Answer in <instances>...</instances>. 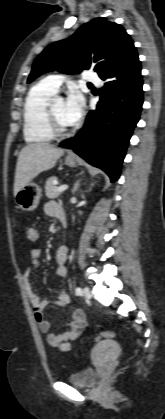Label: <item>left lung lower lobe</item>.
<instances>
[{
  "label": "left lung lower lobe",
  "mask_w": 165,
  "mask_h": 419,
  "mask_svg": "<svg viewBox=\"0 0 165 419\" xmlns=\"http://www.w3.org/2000/svg\"><path fill=\"white\" fill-rule=\"evenodd\" d=\"M106 80L96 110L89 111L84 126L73 138L60 143L93 166L103 169L114 182L143 104L141 66L136 48L100 76Z\"/></svg>",
  "instance_id": "obj_1"
}]
</instances>
